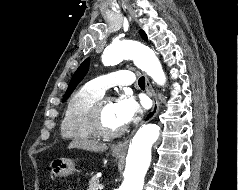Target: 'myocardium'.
<instances>
[{"instance_id": "1", "label": "myocardium", "mask_w": 238, "mask_h": 190, "mask_svg": "<svg viewBox=\"0 0 238 190\" xmlns=\"http://www.w3.org/2000/svg\"><path fill=\"white\" fill-rule=\"evenodd\" d=\"M114 100L113 97L105 96L98 99L92 106L89 112L88 121L92 130L101 137L114 138L122 135L127 126L124 125L117 129H110L104 121V108L107 102Z\"/></svg>"}]
</instances>
